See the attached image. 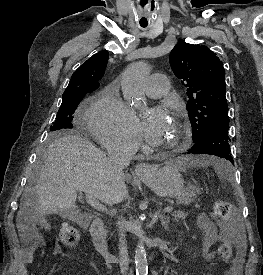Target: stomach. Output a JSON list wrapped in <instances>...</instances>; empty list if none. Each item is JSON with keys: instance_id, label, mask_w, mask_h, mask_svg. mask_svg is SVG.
Masks as SVG:
<instances>
[{"instance_id": "obj_1", "label": "stomach", "mask_w": 263, "mask_h": 275, "mask_svg": "<svg viewBox=\"0 0 263 275\" xmlns=\"http://www.w3.org/2000/svg\"><path fill=\"white\" fill-rule=\"evenodd\" d=\"M177 165V161L168 162L163 167L151 169L142 179L158 196L175 198L178 203L188 204L199 191L192 186L184 185Z\"/></svg>"}]
</instances>
